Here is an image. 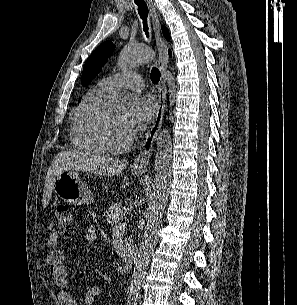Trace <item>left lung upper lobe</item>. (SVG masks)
I'll use <instances>...</instances> for the list:
<instances>
[{"label":"left lung upper lobe","instance_id":"5c2ea615","mask_svg":"<svg viewBox=\"0 0 297 305\" xmlns=\"http://www.w3.org/2000/svg\"><path fill=\"white\" fill-rule=\"evenodd\" d=\"M163 35L167 40L170 39L169 31L165 26H162ZM115 46L111 41L102 43L86 60L83 73L82 85L87 86L92 79L101 71L102 67L112 54Z\"/></svg>","mask_w":297,"mask_h":305}]
</instances>
